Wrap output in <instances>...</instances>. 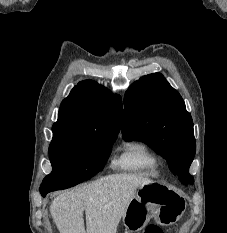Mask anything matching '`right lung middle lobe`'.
<instances>
[{
  "label": "right lung middle lobe",
  "instance_id": "obj_1",
  "mask_svg": "<svg viewBox=\"0 0 227 233\" xmlns=\"http://www.w3.org/2000/svg\"><path fill=\"white\" fill-rule=\"evenodd\" d=\"M117 134L105 137L53 135L49 146L52 172L40 192L70 188L95 176L104 168Z\"/></svg>",
  "mask_w": 227,
  "mask_h": 233
}]
</instances>
